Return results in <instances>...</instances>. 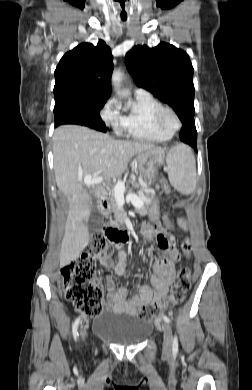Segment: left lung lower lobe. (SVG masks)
Listing matches in <instances>:
<instances>
[{"label":"left lung lower lobe","mask_w":252,"mask_h":390,"mask_svg":"<svg viewBox=\"0 0 252 390\" xmlns=\"http://www.w3.org/2000/svg\"><path fill=\"white\" fill-rule=\"evenodd\" d=\"M180 139L191 145L197 152V132L194 120H186L183 122L182 130L180 132Z\"/></svg>","instance_id":"obj_1"}]
</instances>
